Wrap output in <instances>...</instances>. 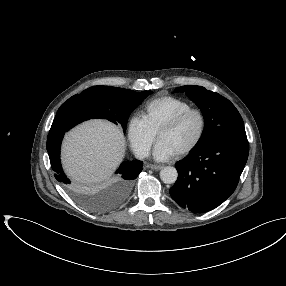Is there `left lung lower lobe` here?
Returning <instances> with one entry per match:
<instances>
[{"instance_id": "0a47b994", "label": "left lung lower lobe", "mask_w": 286, "mask_h": 286, "mask_svg": "<svg viewBox=\"0 0 286 286\" xmlns=\"http://www.w3.org/2000/svg\"><path fill=\"white\" fill-rule=\"evenodd\" d=\"M248 153V140L238 138L216 139L193 148L176 163L172 199L194 213L218 207L236 189Z\"/></svg>"}]
</instances>
